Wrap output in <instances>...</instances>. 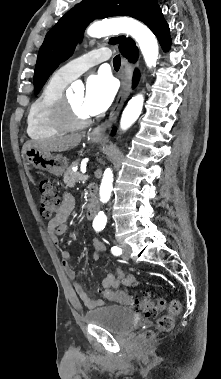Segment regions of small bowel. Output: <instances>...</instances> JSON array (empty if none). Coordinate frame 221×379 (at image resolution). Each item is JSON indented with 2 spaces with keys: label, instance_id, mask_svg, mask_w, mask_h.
<instances>
[{
  "label": "small bowel",
  "instance_id": "c3829d8e",
  "mask_svg": "<svg viewBox=\"0 0 221 379\" xmlns=\"http://www.w3.org/2000/svg\"><path fill=\"white\" fill-rule=\"evenodd\" d=\"M75 207V199L71 194H65L62 198V202L59 206L58 212L56 215L48 222L47 230L54 243H58L59 237L63 235L67 229V220L70 217L73 209ZM94 247V258L97 259L100 254L104 251L103 243L93 238L92 240ZM61 261L63 269L72 282L74 290L87 307H97L102 305L103 301L101 299H92L85 292L82 285L77 281V276L75 271L70 266L71 253L68 250L62 249L60 252ZM137 284L136 278L134 275L125 274L121 269H116L114 273H108L106 277L101 282V287L103 289H118L121 286L124 287H134Z\"/></svg>",
  "mask_w": 221,
  "mask_h": 379
}]
</instances>
